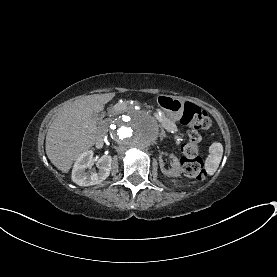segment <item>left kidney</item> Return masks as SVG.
Here are the masks:
<instances>
[{"instance_id": "5707ae66", "label": "left kidney", "mask_w": 277, "mask_h": 277, "mask_svg": "<svg viewBox=\"0 0 277 277\" xmlns=\"http://www.w3.org/2000/svg\"><path fill=\"white\" fill-rule=\"evenodd\" d=\"M163 155H165L164 152H159L158 154V162H159V166L161 168V172L167 176H171V177H178L180 176V162L177 159L176 156H174L173 154H171L173 161L175 162V167L172 170H167L164 168L163 166Z\"/></svg>"}]
</instances>
